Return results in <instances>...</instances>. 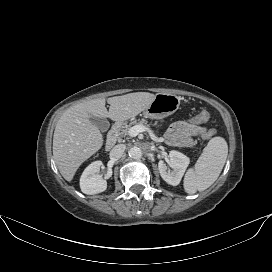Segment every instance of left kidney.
I'll return each mask as SVG.
<instances>
[{
	"label": "left kidney",
	"mask_w": 272,
	"mask_h": 272,
	"mask_svg": "<svg viewBox=\"0 0 272 272\" xmlns=\"http://www.w3.org/2000/svg\"><path fill=\"white\" fill-rule=\"evenodd\" d=\"M189 163L190 160L186 155L181 152L172 150L169 153L168 164L173 170L170 172L162 160H160L158 163V169L162 179L165 182L172 186H177L180 183Z\"/></svg>",
	"instance_id": "1"
}]
</instances>
